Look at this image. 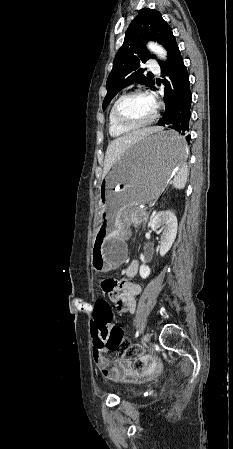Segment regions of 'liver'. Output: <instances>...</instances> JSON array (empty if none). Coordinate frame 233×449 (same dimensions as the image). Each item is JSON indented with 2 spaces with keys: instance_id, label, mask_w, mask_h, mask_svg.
Listing matches in <instances>:
<instances>
[{
  "instance_id": "1",
  "label": "liver",
  "mask_w": 233,
  "mask_h": 449,
  "mask_svg": "<svg viewBox=\"0 0 233 449\" xmlns=\"http://www.w3.org/2000/svg\"><path fill=\"white\" fill-rule=\"evenodd\" d=\"M159 127H148L131 133H122V137L113 140L106 150L104 160L103 177H105L111 167L121 160L125 152L136 142H141L144 137L159 131Z\"/></svg>"
}]
</instances>
